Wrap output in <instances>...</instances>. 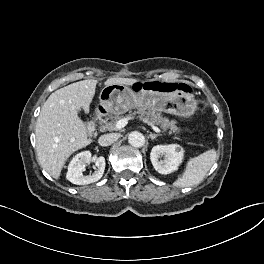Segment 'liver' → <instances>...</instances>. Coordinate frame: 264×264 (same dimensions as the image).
I'll use <instances>...</instances> for the list:
<instances>
[{
    "instance_id": "obj_1",
    "label": "liver",
    "mask_w": 264,
    "mask_h": 264,
    "mask_svg": "<svg viewBox=\"0 0 264 264\" xmlns=\"http://www.w3.org/2000/svg\"><path fill=\"white\" fill-rule=\"evenodd\" d=\"M135 83L137 80L132 78H109L104 84ZM96 85L97 80L90 79L60 88L41 108L36 123V152L39 164L55 179L60 177L67 158L92 142L78 111L89 113Z\"/></svg>"
}]
</instances>
